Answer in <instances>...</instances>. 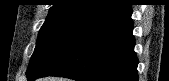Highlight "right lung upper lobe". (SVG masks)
I'll use <instances>...</instances> for the list:
<instances>
[{
	"label": "right lung upper lobe",
	"mask_w": 169,
	"mask_h": 81,
	"mask_svg": "<svg viewBox=\"0 0 169 81\" xmlns=\"http://www.w3.org/2000/svg\"><path fill=\"white\" fill-rule=\"evenodd\" d=\"M124 4L123 0H56L47 19L78 17L90 21Z\"/></svg>",
	"instance_id": "cb5924a9"
}]
</instances>
